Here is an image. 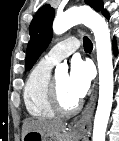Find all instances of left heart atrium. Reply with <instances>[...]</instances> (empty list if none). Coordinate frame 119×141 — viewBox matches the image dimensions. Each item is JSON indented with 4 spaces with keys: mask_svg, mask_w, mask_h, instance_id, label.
<instances>
[{
    "mask_svg": "<svg viewBox=\"0 0 119 141\" xmlns=\"http://www.w3.org/2000/svg\"><path fill=\"white\" fill-rule=\"evenodd\" d=\"M92 78L91 67L81 59H74L68 75V89L77 99L83 98L90 86Z\"/></svg>",
    "mask_w": 119,
    "mask_h": 141,
    "instance_id": "39dd6f15",
    "label": "left heart atrium"
}]
</instances>
